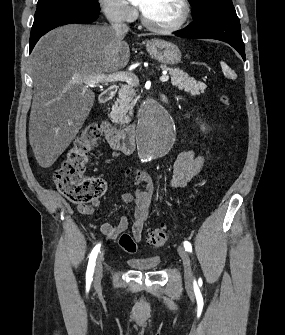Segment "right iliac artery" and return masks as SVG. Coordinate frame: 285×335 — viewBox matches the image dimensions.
<instances>
[{
    "mask_svg": "<svg viewBox=\"0 0 285 335\" xmlns=\"http://www.w3.org/2000/svg\"><path fill=\"white\" fill-rule=\"evenodd\" d=\"M100 246L101 244H97L94 249L92 250L88 262V267H87V272H86V281L91 282L93 280V273H94V267H95V262L96 258L98 255V252L100 251Z\"/></svg>",
    "mask_w": 285,
    "mask_h": 335,
    "instance_id": "82829eb1",
    "label": "right iliac artery"
}]
</instances>
